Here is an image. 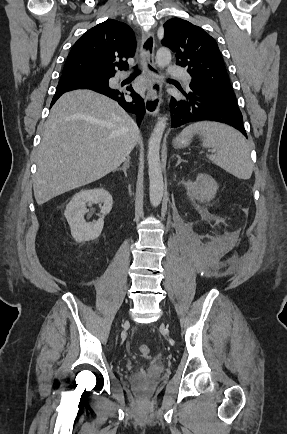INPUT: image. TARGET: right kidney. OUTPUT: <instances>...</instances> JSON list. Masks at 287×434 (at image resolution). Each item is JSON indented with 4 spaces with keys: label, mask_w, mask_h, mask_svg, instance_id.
<instances>
[{
    "label": "right kidney",
    "mask_w": 287,
    "mask_h": 434,
    "mask_svg": "<svg viewBox=\"0 0 287 434\" xmlns=\"http://www.w3.org/2000/svg\"><path fill=\"white\" fill-rule=\"evenodd\" d=\"M101 203V216L98 220L86 222V204ZM113 205V198L103 188L82 190L75 194L66 206L64 215L70 226L71 235L76 242H85L99 237L104 226V216L109 214Z\"/></svg>",
    "instance_id": "ca27d5eb"
}]
</instances>
